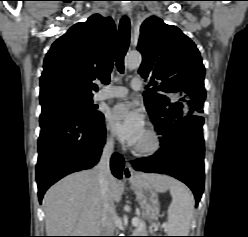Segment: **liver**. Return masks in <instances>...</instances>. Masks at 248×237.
Masks as SVG:
<instances>
[{
    "instance_id": "liver-1",
    "label": "liver",
    "mask_w": 248,
    "mask_h": 237,
    "mask_svg": "<svg viewBox=\"0 0 248 237\" xmlns=\"http://www.w3.org/2000/svg\"><path fill=\"white\" fill-rule=\"evenodd\" d=\"M159 192L173 179L157 174H139ZM110 191L121 200L123 184L112 176ZM47 236H96L102 229L99 176L96 168L71 174L54 184L44 195Z\"/></svg>"
}]
</instances>
